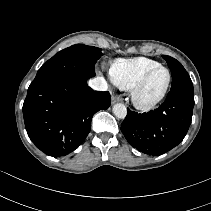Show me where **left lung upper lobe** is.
I'll use <instances>...</instances> for the list:
<instances>
[{
	"label": "left lung upper lobe",
	"mask_w": 211,
	"mask_h": 211,
	"mask_svg": "<svg viewBox=\"0 0 211 211\" xmlns=\"http://www.w3.org/2000/svg\"><path fill=\"white\" fill-rule=\"evenodd\" d=\"M162 57L166 60L168 67L171 70L172 74L171 90L193 91L192 81L188 73L184 69V67L181 65V63L178 62L176 59L167 55H163Z\"/></svg>",
	"instance_id": "1"
}]
</instances>
